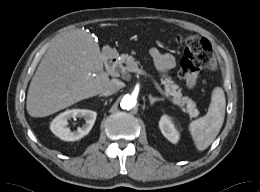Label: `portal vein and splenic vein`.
<instances>
[{"label":"portal vein and splenic vein","instance_id":"1","mask_svg":"<svg viewBox=\"0 0 260 192\" xmlns=\"http://www.w3.org/2000/svg\"><path fill=\"white\" fill-rule=\"evenodd\" d=\"M130 72H135V73H138V74H141V75H145V76H148V77H151L150 74H148L147 72H145L144 70L138 68V65H134L132 66L130 69H129ZM153 80V83L155 84V87L159 90L160 93L162 94H165L164 91L162 90V88L160 87V85L157 83L156 80L152 79ZM166 95V94H165ZM167 96V95H166ZM173 102V101H172Z\"/></svg>","mask_w":260,"mask_h":192}]
</instances>
